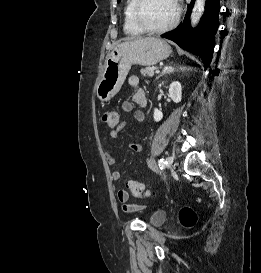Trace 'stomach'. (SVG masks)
I'll return each instance as SVG.
<instances>
[{
    "instance_id": "1",
    "label": "stomach",
    "mask_w": 261,
    "mask_h": 273,
    "mask_svg": "<svg viewBox=\"0 0 261 273\" xmlns=\"http://www.w3.org/2000/svg\"><path fill=\"white\" fill-rule=\"evenodd\" d=\"M171 54L170 45L162 39L146 37L117 45L105 61V69L96 87L102 102L111 100L120 90L132 65L152 66Z\"/></svg>"
}]
</instances>
